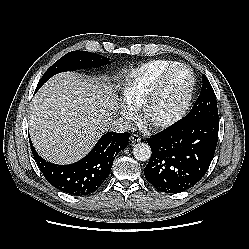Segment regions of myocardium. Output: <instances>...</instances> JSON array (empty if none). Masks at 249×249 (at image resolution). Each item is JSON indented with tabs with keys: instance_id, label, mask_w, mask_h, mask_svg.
<instances>
[{
	"instance_id": "obj_1",
	"label": "myocardium",
	"mask_w": 249,
	"mask_h": 249,
	"mask_svg": "<svg viewBox=\"0 0 249 249\" xmlns=\"http://www.w3.org/2000/svg\"><path fill=\"white\" fill-rule=\"evenodd\" d=\"M181 69H186L190 73V84L180 104L171 114L163 118H155L153 115V111L157 106V104L159 103V101L161 100L169 79L172 77L174 73H176L178 70ZM195 86H196V76L193 69L190 66L186 64H177L174 67L165 71L141 106V117L143 122L155 129L168 128L177 123L187 113L190 107Z\"/></svg>"
}]
</instances>
